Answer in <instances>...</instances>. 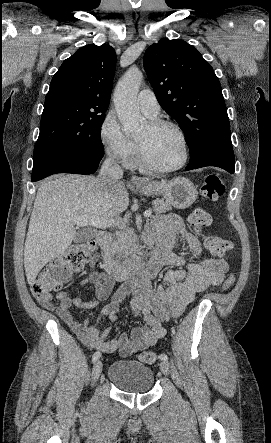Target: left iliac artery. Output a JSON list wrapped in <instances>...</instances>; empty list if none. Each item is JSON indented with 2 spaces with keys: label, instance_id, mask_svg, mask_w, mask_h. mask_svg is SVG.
I'll list each match as a JSON object with an SVG mask.
<instances>
[{
  "label": "left iliac artery",
  "instance_id": "obj_1",
  "mask_svg": "<svg viewBox=\"0 0 271 443\" xmlns=\"http://www.w3.org/2000/svg\"><path fill=\"white\" fill-rule=\"evenodd\" d=\"M159 359L162 361H168V356L166 354H160Z\"/></svg>",
  "mask_w": 271,
  "mask_h": 443
}]
</instances>
